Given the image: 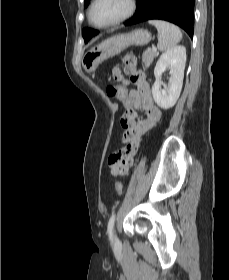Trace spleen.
I'll use <instances>...</instances> for the list:
<instances>
[{
    "label": "spleen",
    "mask_w": 229,
    "mask_h": 280,
    "mask_svg": "<svg viewBox=\"0 0 229 280\" xmlns=\"http://www.w3.org/2000/svg\"><path fill=\"white\" fill-rule=\"evenodd\" d=\"M149 24L154 25L158 31L157 47L160 51H167L175 47L182 39L180 29L172 23L162 20H150Z\"/></svg>",
    "instance_id": "spleen-1"
}]
</instances>
